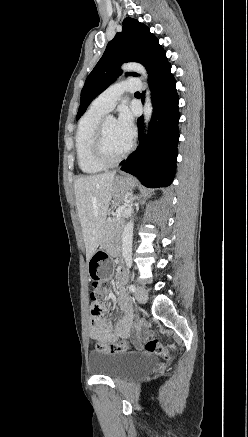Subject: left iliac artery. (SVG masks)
Returning a JSON list of instances; mask_svg holds the SVG:
<instances>
[{
	"instance_id": "44dca946",
	"label": "left iliac artery",
	"mask_w": 248,
	"mask_h": 437,
	"mask_svg": "<svg viewBox=\"0 0 248 437\" xmlns=\"http://www.w3.org/2000/svg\"><path fill=\"white\" fill-rule=\"evenodd\" d=\"M128 265L130 266V263H128ZM129 290H130L131 292H135V290H136L135 285H130V286H129Z\"/></svg>"
}]
</instances>
